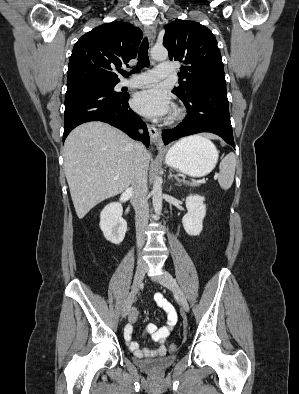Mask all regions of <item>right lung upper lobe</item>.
I'll use <instances>...</instances> for the list:
<instances>
[{
  "label": "right lung upper lobe",
  "instance_id": "right-lung-upper-lobe-1",
  "mask_svg": "<svg viewBox=\"0 0 299 394\" xmlns=\"http://www.w3.org/2000/svg\"><path fill=\"white\" fill-rule=\"evenodd\" d=\"M142 31L114 21L83 35L74 45L67 72V89L93 83L119 82L114 70L137 55Z\"/></svg>",
  "mask_w": 299,
  "mask_h": 394
}]
</instances>
